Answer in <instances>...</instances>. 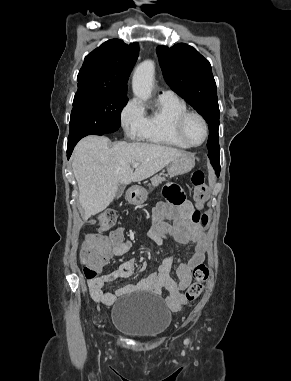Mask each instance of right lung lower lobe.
<instances>
[{
	"label": "right lung lower lobe",
	"instance_id": "right-lung-lower-lobe-1",
	"mask_svg": "<svg viewBox=\"0 0 291 381\" xmlns=\"http://www.w3.org/2000/svg\"><path fill=\"white\" fill-rule=\"evenodd\" d=\"M76 144H77V142H68V146H67V158L68 159L70 158L72 151H73Z\"/></svg>",
	"mask_w": 291,
	"mask_h": 381
}]
</instances>
